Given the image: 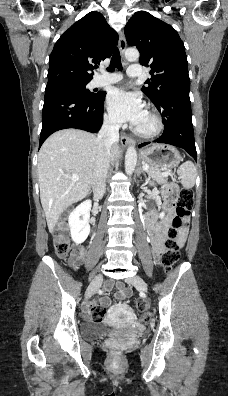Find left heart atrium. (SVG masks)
<instances>
[{
	"instance_id": "1",
	"label": "left heart atrium",
	"mask_w": 228,
	"mask_h": 396,
	"mask_svg": "<svg viewBox=\"0 0 228 396\" xmlns=\"http://www.w3.org/2000/svg\"><path fill=\"white\" fill-rule=\"evenodd\" d=\"M106 103L111 117L117 122H129L137 126L145 114L144 103L139 94L124 88L113 89Z\"/></svg>"
}]
</instances>
